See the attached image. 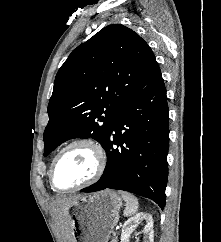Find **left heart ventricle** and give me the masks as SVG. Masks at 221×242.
<instances>
[{
	"label": "left heart ventricle",
	"mask_w": 221,
	"mask_h": 242,
	"mask_svg": "<svg viewBox=\"0 0 221 242\" xmlns=\"http://www.w3.org/2000/svg\"><path fill=\"white\" fill-rule=\"evenodd\" d=\"M96 166L92 150L85 145H76L66 150L54 168V182L59 188H68L87 180Z\"/></svg>",
	"instance_id": "b2bd125f"
}]
</instances>
